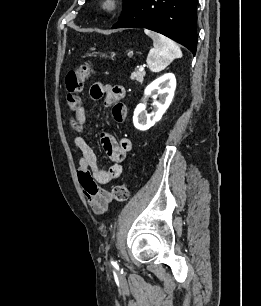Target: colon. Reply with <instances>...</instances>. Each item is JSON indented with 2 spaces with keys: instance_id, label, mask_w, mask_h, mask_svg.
<instances>
[{
  "instance_id": "5ec220e1",
  "label": "colon",
  "mask_w": 261,
  "mask_h": 306,
  "mask_svg": "<svg viewBox=\"0 0 261 306\" xmlns=\"http://www.w3.org/2000/svg\"><path fill=\"white\" fill-rule=\"evenodd\" d=\"M92 74L91 65L87 62L80 65L74 71L67 73L65 78L66 106L70 110H76L80 106V94L85 80ZM112 198L116 202H125L129 198V187L126 183L119 184L112 191Z\"/></svg>"
}]
</instances>
